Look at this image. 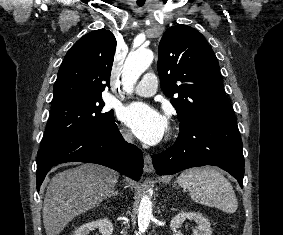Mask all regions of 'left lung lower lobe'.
I'll list each match as a JSON object with an SVG mask.
<instances>
[{"label": "left lung lower lobe", "instance_id": "obj_1", "mask_svg": "<svg viewBox=\"0 0 283 235\" xmlns=\"http://www.w3.org/2000/svg\"><path fill=\"white\" fill-rule=\"evenodd\" d=\"M159 175H171L190 167L214 165L243 186L244 157L236 118L203 122L181 130L173 146L152 155Z\"/></svg>", "mask_w": 283, "mask_h": 235}]
</instances>
